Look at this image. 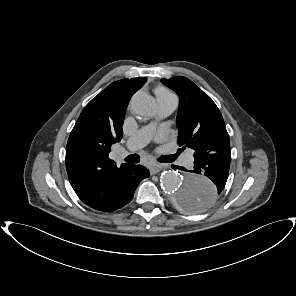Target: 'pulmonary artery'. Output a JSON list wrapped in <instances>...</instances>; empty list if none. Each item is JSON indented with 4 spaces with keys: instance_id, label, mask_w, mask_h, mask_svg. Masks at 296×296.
I'll return each instance as SVG.
<instances>
[{
    "instance_id": "obj_1",
    "label": "pulmonary artery",
    "mask_w": 296,
    "mask_h": 296,
    "mask_svg": "<svg viewBox=\"0 0 296 296\" xmlns=\"http://www.w3.org/2000/svg\"><path fill=\"white\" fill-rule=\"evenodd\" d=\"M158 105L159 117H166L170 115L177 107L178 99L174 94L165 96H156ZM156 123L152 122L138 131H136L126 143L127 151H135L145 146L152 138L155 131ZM194 162V156L192 151H188L182 160L185 166H191Z\"/></svg>"
}]
</instances>
